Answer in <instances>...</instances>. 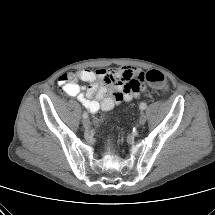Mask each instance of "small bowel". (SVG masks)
<instances>
[{
  "mask_svg": "<svg viewBox=\"0 0 215 215\" xmlns=\"http://www.w3.org/2000/svg\"><path fill=\"white\" fill-rule=\"evenodd\" d=\"M143 72L135 67L121 66L112 69H83L59 77L63 91L77 100L90 112L109 111L121 102H130L140 96L143 89ZM78 80L89 83L82 87ZM138 84L135 88L133 85Z\"/></svg>",
  "mask_w": 215,
  "mask_h": 215,
  "instance_id": "1",
  "label": "small bowel"
}]
</instances>
